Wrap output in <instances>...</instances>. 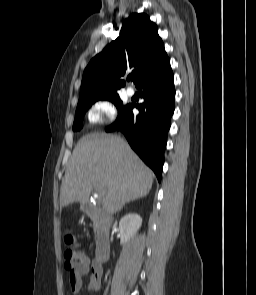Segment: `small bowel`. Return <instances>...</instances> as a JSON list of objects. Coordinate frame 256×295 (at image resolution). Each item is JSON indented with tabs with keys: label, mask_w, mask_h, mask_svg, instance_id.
I'll list each match as a JSON object with an SVG mask.
<instances>
[{
	"label": "small bowel",
	"mask_w": 256,
	"mask_h": 295,
	"mask_svg": "<svg viewBox=\"0 0 256 295\" xmlns=\"http://www.w3.org/2000/svg\"><path fill=\"white\" fill-rule=\"evenodd\" d=\"M89 275L87 290L90 292L98 291L101 287V280L103 275V267L96 259L89 261L86 259L85 263L74 271L69 273V285L73 295H78L82 289V277Z\"/></svg>",
	"instance_id": "small-bowel-1"
}]
</instances>
